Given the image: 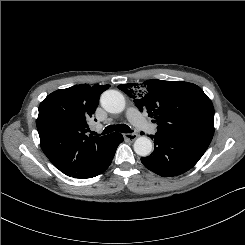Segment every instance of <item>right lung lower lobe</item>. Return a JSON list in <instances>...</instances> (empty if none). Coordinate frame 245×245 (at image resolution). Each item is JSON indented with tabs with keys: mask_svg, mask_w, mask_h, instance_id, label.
Masks as SVG:
<instances>
[{
	"mask_svg": "<svg viewBox=\"0 0 245 245\" xmlns=\"http://www.w3.org/2000/svg\"><path fill=\"white\" fill-rule=\"evenodd\" d=\"M123 141V136L120 133L110 134L108 144L105 147L102 155L100 156L98 162L82 176L76 178L85 179L95 177L105 171L112 162L118 145Z\"/></svg>",
	"mask_w": 245,
	"mask_h": 245,
	"instance_id": "1",
	"label": "right lung lower lobe"
}]
</instances>
